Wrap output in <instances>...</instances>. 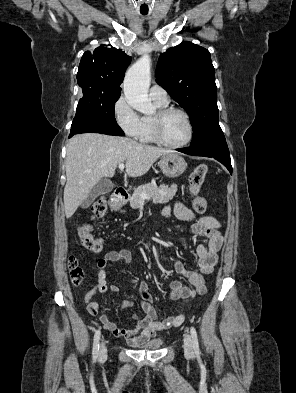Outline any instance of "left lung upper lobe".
I'll return each instance as SVG.
<instances>
[{"instance_id": "1", "label": "left lung upper lobe", "mask_w": 296, "mask_h": 393, "mask_svg": "<svg viewBox=\"0 0 296 393\" xmlns=\"http://www.w3.org/2000/svg\"><path fill=\"white\" fill-rule=\"evenodd\" d=\"M156 81L190 116V147L225 140L219 125L215 71L207 49L190 42L160 55Z\"/></svg>"}]
</instances>
